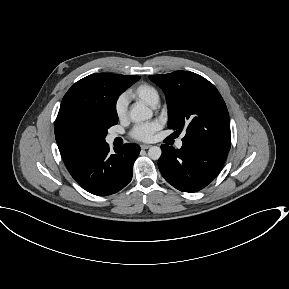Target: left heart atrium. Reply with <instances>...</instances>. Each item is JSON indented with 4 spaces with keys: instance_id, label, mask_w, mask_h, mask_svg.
Here are the masks:
<instances>
[{
    "instance_id": "39dd6f15",
    "label": "left heart atrium",
    "mask_w": 289,
    "mask_h": 289,
    "mask_svg": "<svg viewBox=\"0 0 289 289\" xmlns=\"http://www.w3.org/2000/svg\"><path fill=\"white\" fill-rule=\"evenodd\" d=\"M158 129L159 124L157 122L137 125L133 128L131 137L139 141H150Z\"/></svg>"
}]
</instances>
